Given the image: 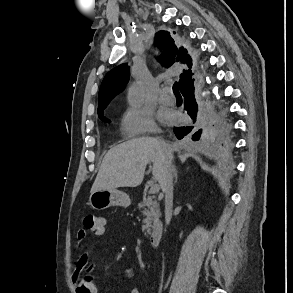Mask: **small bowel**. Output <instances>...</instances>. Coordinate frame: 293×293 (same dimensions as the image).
Listing matches in <instances>:
<instances>
[{"instance_id": "small-bowel-1", "label": "small bowel", "mask_w": 293, "mask_h": 293, "mask_svg": "<svg viewBox=\"0 0 293 293\" xmlns=\"http://www.w3.org/2000/svg\"><path fill=\"white\" fill-rule=\"evenodd\" d=\"M106 233L105 228L99 234L94 235L95 237H103ZM88 233L84 229H80L77 232V242L81 245L84 240L87 238ZM89 264V255L86 251H81L78 255V260L76 262L74 272H73V281L77 286V293H98L97 287L94 284L92 277L89 275H82L83 271ZM134 275L132 269H127L124 273L126 279H131ZM129 293H140V290L136 286H132L129 289Z\"/></svg>"}]
</instances>
